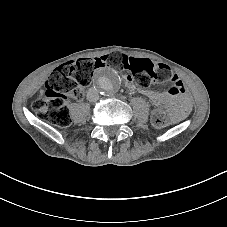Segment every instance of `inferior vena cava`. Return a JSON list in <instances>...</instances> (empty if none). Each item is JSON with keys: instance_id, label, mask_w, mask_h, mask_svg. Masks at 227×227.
<instances>
[{"instance_id": "1", "label": "inferior vena cava", "mask_w": 227, "mask_h": 227, "mask_svg": "<svg viewBox=\"0 0 227 227\" xmlns=\"http://www.w3.org/2000/svg\"><path fill=\"white\" fill-rule=\"evenodd\" d=\"M87 99L91 102L99 99V93L96 88L92 87L87 91Z\"/></svg>"}]
</instances>
